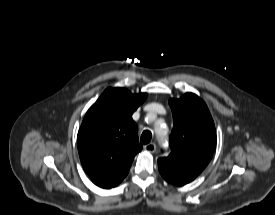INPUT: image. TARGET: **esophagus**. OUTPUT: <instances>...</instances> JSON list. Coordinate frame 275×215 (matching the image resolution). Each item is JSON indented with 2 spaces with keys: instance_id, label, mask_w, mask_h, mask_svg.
<instances>
[{
  "instance_id": "obj_1",
  "label": "esophagus",
  "mask_w": 275,
  "mask_h": 215,
  "mask_svg": "<svg viewBox=\"0 0 275 215\" xmlns=\"http://www.w3.org/2000/svg\"><path fill=\"white\" fill-rule=\"evenodd\" d=\"M144 150L150 153H154L156 151V145L154 143H149L147 145H145Z\"/></svg>"
}]
</instances>
